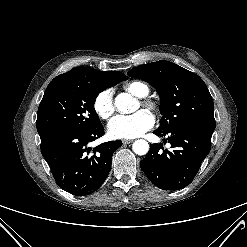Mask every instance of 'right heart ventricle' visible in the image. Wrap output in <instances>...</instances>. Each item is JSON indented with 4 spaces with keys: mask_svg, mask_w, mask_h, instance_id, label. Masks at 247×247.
Wrapping results in <instances>:
<instances>
[{
    "mask_svg": "<svg viewBox=\"0 0 247 247\" xmlns=\"http://www.w3.org/2000/svg\"><path fill=\"white\" fill-rule=\"evenodd\" d=\"M125 90L131 94L143 98L149 94V87L141 81H131L124 85Z\"/></svg>",
    "mask_w": 247,
    "mask_h": 247,
    "instance_id": "e07e8e85",
    "label": "right heart ventricle"
}]
</instances>
